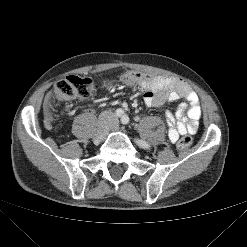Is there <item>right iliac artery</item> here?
Segmentation results:
<instances>
[{
	"instance_id": "82829eb1",
	"label": "right iliac artery",
	"mask_w": 247,
	"mask_h": 247,
	"mask_svg": "<svg viewBox=\"0 0 247 247\" xmlns=\"http://www.w3.org/2000/svg\"><path fill=\"white\" fill-rule=\"evenodd\" d=\"M123 115V110L122 109H117L116 110V116L121 117Z\"/></svg>"
}]
</instances>
